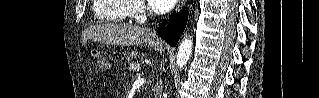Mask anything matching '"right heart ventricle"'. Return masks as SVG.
<instances>
[{"mask_svg": "<svg viewBox=\"0 0 319 98\" xmlns=\"http://www.w3.org/2000/svg\"><path fill=\"white\" fill-rule=\"evenodd\" d=\"M93 11L100 22H121L131 16L133 4L126 0H95Z\"/></svg>", "mask_w": 319, "mask_h": 98, "instance_id": "right-heart-ventricle-1", "label": "right heart ventricle"}]
</instances>
